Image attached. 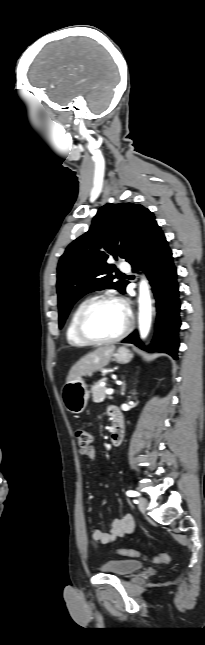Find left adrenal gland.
<instances>
[{
  "mask_svg": "<svg viewBox=\"0 0 205 645\" xmlns=\"http://www.w3.org/2000/svg\"><path fill=\"white\" fill-rule=\"evenodd\" d=\"M124 391H125V383H123L122 385V393H124Z\"/></svg>",
  "mask_w": 205,
  "mask_h": 645,
  "instance_id": "obj_1",
  "label": "left adrenal gland"
}]
</instances>
